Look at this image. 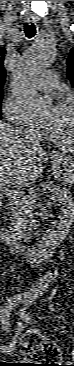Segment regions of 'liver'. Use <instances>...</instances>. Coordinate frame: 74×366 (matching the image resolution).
<instances>
[{"mask_svg": "<svg viewBox=\"0 0 74 366\" xmlns=\"http://www.w3.org/2000/svg\"><path fill=\"white\" fill-rule=\"evenodd\" d=\"M61 153H48L27 138L25 132L0 123V182L1 185L26 187L36 182L43 172V162L54 160Z\"/></svg>", "mask_w": 74, "mask_h": 366, "instance_id": "6515ba94", "label": "liver"}]
</instances>
